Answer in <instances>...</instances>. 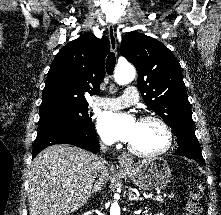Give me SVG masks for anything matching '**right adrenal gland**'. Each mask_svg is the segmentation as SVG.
<instances>
[{
	"label": "right adrenal gland",
	"instance_id": "2a0ac1e0",
	"mask_svg": "<svg viewBox=\"0 0 221 215\" xmlns=\"http://www.w3.org/2000/svg\"><path fill=\"white\" fill-rule=\"evenodd\" d=\"M101 184H102V181L99 180V182H96L92 191L90 192V196H92V194L96 193L98 190H101Z\"/></svg>",
	"mask_w": 221,
	"mask_h": 215
}]
</instances>
